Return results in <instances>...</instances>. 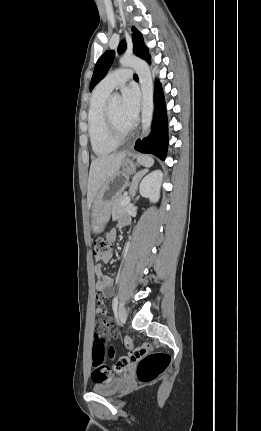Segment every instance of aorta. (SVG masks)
I'll return each mask as SVG.
<instances>
[{
  "mask_svg": "<svg viewBox=\"0 0 261 431\" xmlns=\"http://www.w3.org/2000/svg\"><path fill=\"white\" fill-rule=\"evenodd\" d=\"M123 67H132L138 77L142 90V131L146 133L150 128L153 114V82L150 69L145 61L135 56H123L120 59ZM119 95L115 93L112 96L111 103L117 104Z\"/></svg>",
  "mask_w": 261,
  "mask_h": 431,
  "instance_id": "aorta-1",
  "label": "aorta"
}]
</instances>
